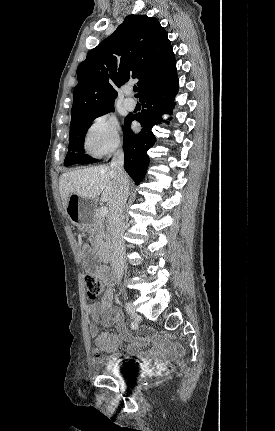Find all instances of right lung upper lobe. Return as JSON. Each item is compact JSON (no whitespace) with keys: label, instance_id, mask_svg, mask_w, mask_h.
Here are the masks:
<instances>
[{"label":"right lung upper lobe","instance_id":"1","mask_svg":"<svg viewBox=\"0 0 275 431\" xmlns=\"http://www.w3.org/2000/svg\"><path fill=\"white\" fill-rule=\"evenodd\" d=\"M175 69L171 43L158 20L127 16L78 66L71 122L113 107L117 88L129 80L138 79L141 97Z\"/></svg>","mask_w":275,"mask_h":431}]
</instances>
